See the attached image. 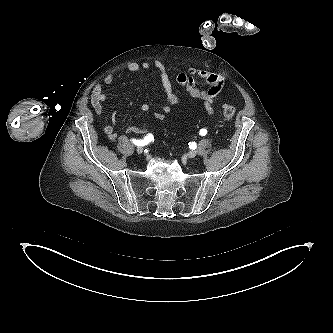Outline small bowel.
<instances>
[{
    "label": "small bowel",
    "instance_id": "c3829d8e",
    "mask_svg": "<svg viewBox=\"0 0 333 333\" xmlns=\"http://www.w3.org/2000/svg\"><path fill=\"white\" fill-rule=\"evenodd\" d=\"M152 67H154L159 72L161 83L166 95V101L161 107V110L155 113V117L161 120L165 117L166 114L170 113L174 106L181 103L179 96L174 91L172 81L165 65L159 60H156L153 63L148 61H144L141 63L131 62L127 65L128 71L138 74L149 70ZM197 79L203 80L208 85V88L205 90L200 89L197 86ZM176 81L180 86L185 88L192 97L203 101L204 108L209 115H212L214 113V104L216 98L221 92L224 85V79L221 75L205 69L189 68L180 71L176 76ZM113 82L114 76L112 74H108L103 79V83L105 85H111ZM106 98L107 96L103 90V85L97 84L94 87L91 95V104L97 114H101L103 103L106 101ZM141 110L146 112L149 110V106L147 104H143L141 106ZM149 128V123H142L140 125L127 127L125 132L143 133L147 132ZM103 131L110 140H115L118 137V133L116 131L114 123L106 124L103 127Z\"/></svg>",
    "mask_w": 333,
    "mask_h": 333
}]
</instances>
